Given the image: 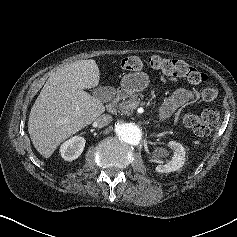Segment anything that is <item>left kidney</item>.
I'll return each instance as SVG.
<instances>
[{"label":"left kidney","mask_w":237,"mask_h":237,"mask_svg":"<svg viewBox=\"0 0 237 237\" xmlns=\"http://www.w3.org/2000/svg\"><path fill=\"white\" fill-rule=\"evenodd\" d=\"M169 147L173 150L174 155L172 160L164 165H158L156 171L160 173H169L179 170L185 163V149L184 147L175 141L169 142Z\"/></svg>","instance_id":"obj_1"}]
</instances>
